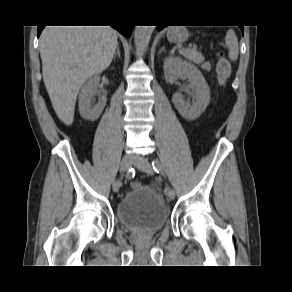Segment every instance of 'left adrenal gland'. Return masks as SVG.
Listing matches in <instances>:
<instances>
[{"label": "left adrenal gland", "mask_w": 292, "mask_h": 292, "mask_svg": "<svg viewBox=\"0 0 292 292\" xmlns=\"http://www.w3.org/2000/svg\"><path fill=\"white\" fill-rule=\"evenodd\" d=\"M163 51L165 52V47L164 46L160 49L159 54L162 53Z\"/></svg>", "instance_id": "a2214340"}]
</instances>
